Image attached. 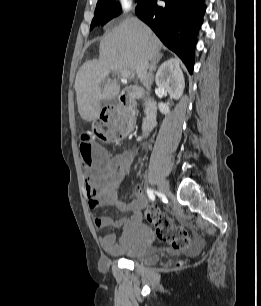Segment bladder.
<instances>
[{
    "label": "bladder",
    "instance_id": "bladder-1",
    "mask_svg": "<svg viewBox=\"0 0 261 306\" xmlns=\"http://www.w3.org/2000/svg\"><path fill=\"white\" fill-rule=\"evenodd\" d=\"M125 258L133 263L153 265L160 260V252L148 241H143L134 251L127 254Z\"/></svg>",
    "mask_w": 261,
    "mask_h": 306
}]
</instances>
